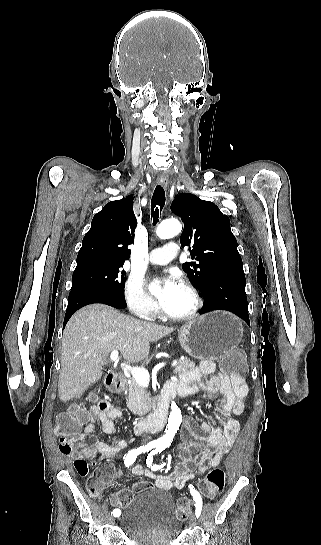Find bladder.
<instances>
[{"label":"bladder","instance_id":"obj_1","mask_svg":"<svg viewBox=\"0 0 321 545\" xmlns=\"http://www.w3.org/2000/svg\"><path fill=\"white\" fill-rule=\"evenodd\" d=\"M118 520L134 545H170L181 531L172 496L161 488L150 487L134 494Z\"/></svg>","mask_w":321,"mask_h":545}]
</instances>
